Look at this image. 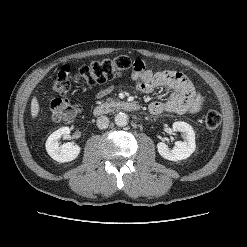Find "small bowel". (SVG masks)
<instances>
[{"instance_id": "obj_1", "label": "small bowel", "mask_w": 247, "mask_h": 247, "mask_svg": "<svg viewBox=\"0 0 247 247\" xmlns=\"http://www.w3.org/2000/svg\"><path fill=\"white\" fill-rule=\"evenodd\" d=\"M132 78L137 82V89L150 93L154 88H168L171 94L167 100L154 101L149 105L152 114L170 112L175 114L197 113L200 111L203 97L194 88L191 81L181 72L159 71L153 73L147 69L134 68ZM112 86L99 91L98 97L110 93Z\"/></svg>"}]
</instances>
